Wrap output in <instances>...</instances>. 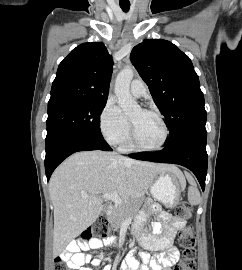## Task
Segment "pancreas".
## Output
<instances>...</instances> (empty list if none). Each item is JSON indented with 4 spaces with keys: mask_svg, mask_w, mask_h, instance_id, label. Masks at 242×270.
<instances>
[{
    "mask_svg": "<svg viewBox=\"0 0 242 270\" xmlns=\"http://www.w3.org/2000/svg\"><path fill=\"white\" fill-rule=\"evenodd\" d=\"M140 205V201H128L121 205H116L113 212L108 216L107 220L112 227L118 229L126 219L133 218L136 215Z\"/></svg>",
    "mask_w": 242,
    "mask_h": 270,
    "instance_id": "cf45deb5",
    "label": "pancreas"
}]
</instances>
